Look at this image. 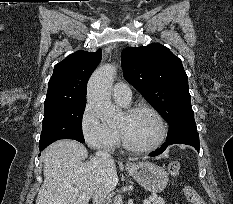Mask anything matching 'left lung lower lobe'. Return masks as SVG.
I'll use <instances>...</instances> for the list:
<instances>
[{"label":"left lung lower lobe","instance_id":"left-lung-lower-lobe-1","mask_svg":"<svg viewBox=\"0 0 233 204\" xmlns=\"http://www.w3.org/2000/svg\"><path fill=\"white\" fill-rule=\"evenodd\" d=\"M172 144H187L193 146L199 151V134L198 132H182L176 135V137L166 141L160 149L150 154V156H157L161 154L169 145Z\"/></svg>","mask_w":233,"mask_h":204}]
</instances>
